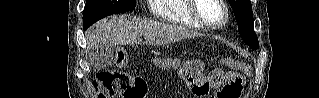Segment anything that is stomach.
<instances>
[{"mask_svg": "<svg viewBox=\"0 0 319 98\" xmlns=\"http://www.w3.org/2000/svg\"><path fill=\"white\" fill-rule=\"evenodd\" d=\"M180 76L189 87V91L192 95L196 97L203 96L202 91L200 90L203 84V81H201L200 69L192 67L183 68Z\"/></svg>", "mask_w": 319, "mask_h": 98, "instance_id": "1", "label": "stomach"}]
</instances>
